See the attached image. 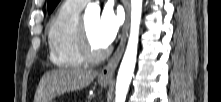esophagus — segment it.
I'll return each mask as SVG.
<instances>
[{
  "mask_svg": "<svg viewBox=\"0 0 221 102\" xmlns=\"http://www.w3.org/2000/svg\"><path fill=\"white\" fill-rule=\"evenodd\" d=\"M125 8H126V21L123 27V33L121 37L120 44L113 55V57L109 60L107 65L100 71L99 77L102 79H112L115 73V70L118 66V63L121 59V56L124 51L126 39L128 36V29H129V15H130V4L129 1L126 0L125 2Z\"/></svg>",
  "mask_w": 221,
  "mask_h": 102,
  "instance_id": "1",
  "label": "esophagus"
}]
</instances>
